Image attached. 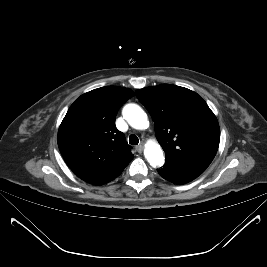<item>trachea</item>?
<instances>
[{"mask_svg": "<svg viewBox=\"0 0 267 267\" xmlns=\"http://www.w3.org/2000/svg\"><path fill=\"white\" fill-rule=\"evenodd\" d=\"M129 143H130L131 145H137V144L139 143V139H138V137H137L136 135H134V134H131V135L129 136Z\"/></svg>", "mask_w": 267, "mask_h": 267, "instance_id": "trachea-1", "label": "trachea"}]
</instances>
